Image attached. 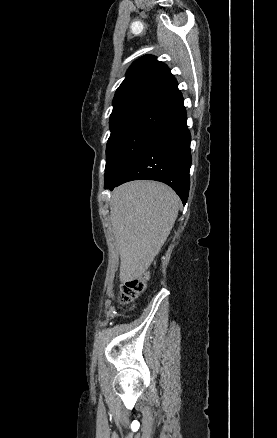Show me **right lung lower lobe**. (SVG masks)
Segmentation results:
<instances>
[{
	"instance_id": "obj_1",
	"label": "right lung lower lobe",
	"mask_w": 277,
	"mask_h": 438,
	"mask_svg": "<svg viewBox=\"0 0 277 438\" xmlns=\"http://www.w3.org/2000/svg\"><path fill=\"white\" fill-rule=\"evenodd\" d=\"M191 135L183 99L172 106L149 140L131 160L120 177L105 188L138 179L157 180L175 190L185 205L189 194Z\"/></svg>"
}]
</instances>
